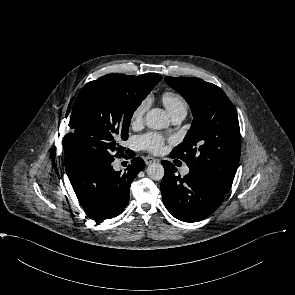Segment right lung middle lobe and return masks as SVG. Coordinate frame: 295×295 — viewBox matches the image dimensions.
Wrapping results in <instances>:
<instances>
[{"mask_svg":"<svg viewBox=\"0 0 295 295\" xmlns=\"http://www.w3.org/2000/svg\"><path fill=\"white\" fill-rule=\"evenodd\" d=\"M154 85L148 74H107L87 83L71 109V132L63 138L65 164L120 157L133 112Z\"/></svg>","mask_w":295,"mask_h":295,"instance_id":"right-lung-middle-lobe-1","label":"right lung middle lobe"}]
</instances>
